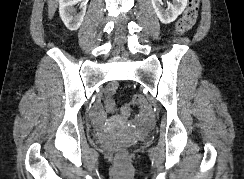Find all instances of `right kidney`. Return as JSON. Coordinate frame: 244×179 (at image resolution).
<instances>
[{
  "instance_id": "obj_1",
  "label": "right kidney",
  "mask_w": 244,
  "mask_h": 179,
  "mask_svg": "<svg viewBox=\"0 0 244 179\" xmlns=\"http://www.w3.org/2000/svg\"><path fill=\"white\" fill-rule=\"evenodd\" d=\"M78 2H81V6L79 8V14H76L73 6L78 4ZM87 2L88 0H59L60 18L66 28L71 30V32H75V30L80 28L86 14Z\"/></svg>"
}]
</instances>
